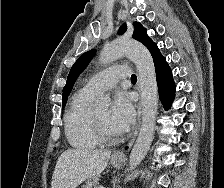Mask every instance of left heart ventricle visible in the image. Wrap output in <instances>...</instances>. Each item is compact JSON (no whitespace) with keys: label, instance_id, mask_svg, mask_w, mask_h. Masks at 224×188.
<instances>
[{"label":"left heart ventricle","instance_id":"1","mask_svg":"<svg viewBox=\"0 0 224 188\" xmlns=\"http://www.w3.org/2000/svg\"><path fill=\"white\" fill-rule=\"evenodd\" d=\"M95 115L107 134L112 136L118 135V133L114 130V128L110 124L109 111L107 109L97 111L95 112Z\"/></svg>","mask_w":224,"mask_h":188}]
</instances>
